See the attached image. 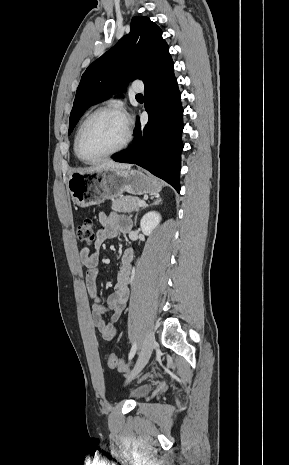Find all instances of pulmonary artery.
Here are the masks:
<instances>
[{"label": "pulmonary artery", "mask_w": 289, "mask_h": 465, "mask_svg": "<svg viewBox=\"0 0 289 465\" xmlns=\"http://www.w3.org/2000/svg\"><path fill=\"white\" fill-rule=\"evenodd\" d=\"M132 89L135 92H142L144 90V86L140 81H135L132 85Z\"/></svg>", "instance_id": "1"}]
</instances>
